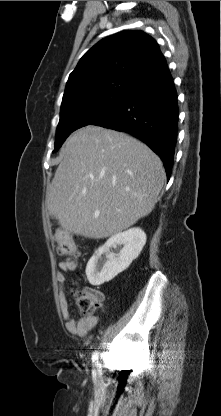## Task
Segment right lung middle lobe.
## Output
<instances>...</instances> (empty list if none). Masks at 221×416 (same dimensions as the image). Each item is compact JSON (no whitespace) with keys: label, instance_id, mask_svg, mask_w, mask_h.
I'll return each mask as SVG.
<instances>
[{"label":"right lung middle lobe","instance_id":"obj_1","mask_svg":"<svg viewBox=\"0 0 221 416\" xmlns=\"http://www.w3.org/2000/svg\"><path fill=\"white\" fill-rule=\"evenodd\" d=\"M130 92L125 88H108L62 103L54 152L73 131L107 117Z\"/></svg>","mask_w":221,"mask_h":416}]
</instances>
